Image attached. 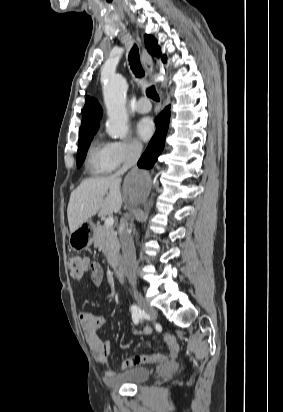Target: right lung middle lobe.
<instances>
[{"mask_svg":"<svg viewBox=\"0 0 283 412\" xmlns=\"http://www.w3.org/2000/svg\"><path fill=\"white\" fill-rule=\"evenodd\" d=\"M94 134L95 132L79 137L77 151V167H79L83 163L86 156V151L90 145V141L92 140Z\"/></svg>","mask_w":283,"mask_h":412,"instance_id":"right-lung-middle-lobe-1","label":"right lung middle lobe"}]
</instances>
